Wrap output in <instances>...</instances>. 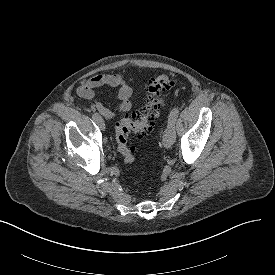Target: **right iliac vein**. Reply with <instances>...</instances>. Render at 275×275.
<instances>
[{"mask_svg": "<svg viewBox=\"0 0 275 275\" xmlns=\"http://www.w3.org/2000/svg\"><path fill=\"white\" fill-rule=\"evenodd\" d=\"M96 123L101 130L105 129V122L101 117L96 121Z\"/></svg>", "mask_w": 275, "mask_h": 275, "instance_id": "63e3f726", "label": "right iliac vein"}]
</instances>
